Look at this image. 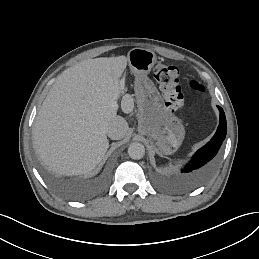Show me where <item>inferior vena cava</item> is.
I'll use <instances>...</instances> for the list:
<instances>
[{
	"instance_id": "inferior-vena-cava-1",
	"label": "inferior vena cava",
	"mask_w": 259,
	"mask_h": 259,
	"mask_svg": "<svg viewBox=\"0 0 259 259\" xmlns=\"http://www.w3.org/2000/svg\"><path fill=\"white\" fill-rule=\"evenodd\" d=\"M128 130V123L122 117H118L107 126L108 137L112 140H119L125 137Z\"/></svg>"
}]
</instances>
